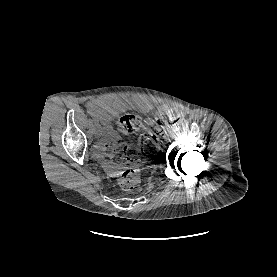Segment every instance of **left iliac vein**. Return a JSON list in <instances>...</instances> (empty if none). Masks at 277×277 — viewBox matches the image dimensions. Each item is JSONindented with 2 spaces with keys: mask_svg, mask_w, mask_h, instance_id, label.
<instances>
[{
  "mask_svg": "<svg viewBox=\"0 0 277 277\" xmlns=\"http://www.w3.org/2000/svg\"><path fill=\"white\" fill-rule=\"evenodd\" d=\"M176 136V133L173 131V130H171L170 131V133H169V135L167 136V140H171V139H173L174 137Z\"/></svg>",
  "mask_w": 277,
  "mask_h": 277,
  "instance_id": "obj_1",
  "label": "left iliac vein"
}]
</instances>
